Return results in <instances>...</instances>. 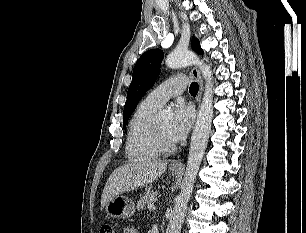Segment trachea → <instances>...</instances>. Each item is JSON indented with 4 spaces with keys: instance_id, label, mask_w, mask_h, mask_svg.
Returning <instances> with one entry per match:
<instances>
[{
    "instance_id": "3493384b",
    "label": "trachea",
    "mask_w": 306,
    "mask_h": 233,
    "mask_svg": "<svg viewBox=\"0 0 306 233\" xmlns=\"http://www.w3.org/2000/svg\"><path fill=\"white\" fill-rule=\"evenodd\" d=\"M198 83H196V82H193V83H191V85H190V88H189V92L191 93V94H197L198 93Z\"/></svg>"
}]
</instances>
